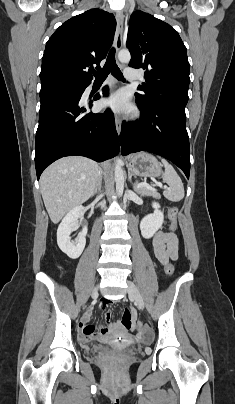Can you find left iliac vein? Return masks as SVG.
Instances as JSON below:
<instances>
[{"label": "left iliac vein", "mask_w": 235, "mask_h": 404, "mask_svg": "<svg viewBox=\"0 0 235 404\" xmlns=\"http://www.w3.org/2000/svg\"><path fill=\"white\" fill-rule=\"evenodd\" d=\"M128 294L132 297L140 309H144V301L143 298L136 287V285L132 281H128Z\"/></svg>", "instance_id": "1"}]
</instances>
